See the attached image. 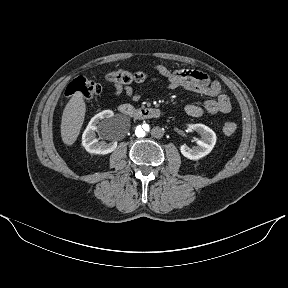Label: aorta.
Listing matches in <instances>:
<instances>
[{"instance_id": "762f6f07", "label": "aorta", "mask_w": 288, "mask_h": 288, "mask_svg": "<svg viewBox=\"0 0 288 288\" xmlns=\"http://www.w3.org/2000/svg\"><path fill=\"white\" fill-rule=\"evenodd\" d=\"M149 134V127L146 124H139L134 128V135L137 138H145Z\"/></svg>"}]
</instances>
